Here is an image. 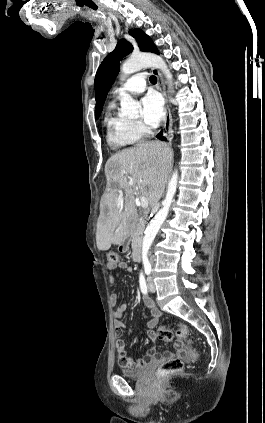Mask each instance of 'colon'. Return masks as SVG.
<instances>
[{
  "instance_id": "colon-1",
  "label": "colon",
  "mask_w": 265,
  "mask_h": 423,
  "mask_svg": "<svg viewBox=\"0 0 265 423\" xmlns=\"http://www.w3.org/2000/svg\"><path fill=\"white\" fill-rule=\"evenodd\" d=\"M107 260L110 264H116L119 261V256L115 251L107 253ZM189 329L184 324H179L177 330L173 332L166 325L160 326L158 329V337L163 342H170L175 336L182 342H187ZM184 351V355H186ZM124 367H132L129 363H120ZM183 367V362L179 358H171L165 361L157 371V377L162 378L170 374L179 372Z\"/></svg>"
}]
</instances>
